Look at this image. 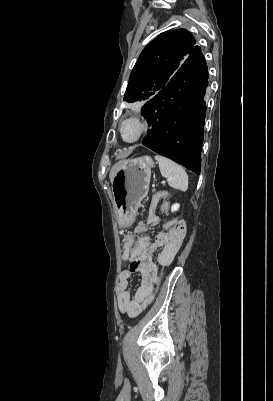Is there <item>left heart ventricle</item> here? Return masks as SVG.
I'll use <instances>...</instances> for the list:
<instances>
[{
	"label": "left heart ventricle",
	"instance_id": "b2bd125f",
	"mask_svg": "<svg viewBox=\"0 0 273 401\" xmlns=\"http://www.w3.org/2000/svg\"><path fill=\"white\" fill-rule=\"evenodd\" d=\"M138 134V127L136 124L129 122L124 124L122 128V136L125 140H133Z\"/></svg>",
	"mask_w": 273,
	"mask_h": 401
}]
</instances>
